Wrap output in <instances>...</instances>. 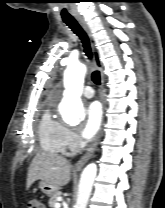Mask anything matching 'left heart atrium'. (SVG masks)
<instances>
[{
	"instance_id": "39dd6f15",
	"label": "left heart atrium",
	"mask_w": 165,
	"mask_h": 208,
	"mask_svg": "<svg viewBox=\"0 0 165 208\" xmlns=\"http://www.w3.org/2000/svg\"><path fill=\"white\" fill-rule=\"evenodd\" d=\"M102 121V109L98 102H92L85 108V121L80 130L81 136L87 140L92 139Z\"/></svg>"
}]
</instances>
